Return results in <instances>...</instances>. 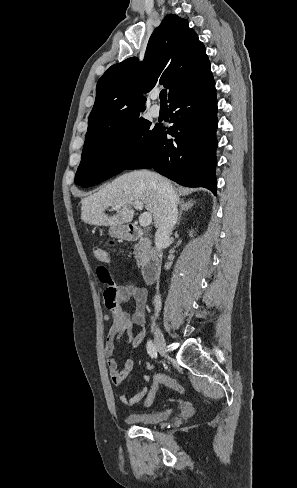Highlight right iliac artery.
<instances>
[{
  "label": "right iliac artery",
  "mask_w": 297,
  "mask_h": 488,
  "mask_svg": "<svg viewBox=\"0 0 297 488\" xmlns=\"http://www.w3.org/2000/svg\"><path fill=\"white\" fill-rule=\"evenodd\" d=\"M147 352L152 358H157V349L152 340L147 342Z\"/></svg>",
  "instance_id": "right-iliac-artery-1"
}]
</instances>
